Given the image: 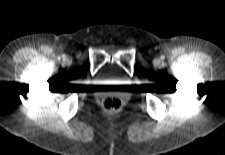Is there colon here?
Segmentation results:
<instances>
[{"label": "colon", "mask_w": 225, "mask_h": 155, "mask_svg": "<svg viewBox=\"0 0 225 155\" xmlns=\"http://www.w3.org/2000/svg\"><path fill=\"white\" fill-rule=\"evenodd\" d=\"M102 106L107 111H117L121 108L122 101L119 97L108 96L103 99Z\"/></svg>", "instance_id": "obj_1"}]
</instances>
